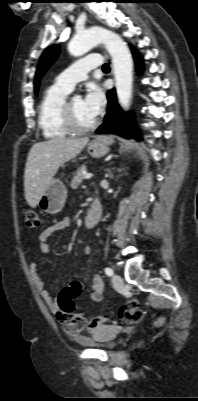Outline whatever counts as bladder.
Segmentation results:
<instances>
[{
	"instance_id": "1",
	"label": "bladder",
	"mask_w": 198,
	"mask_h": 401,
	"mask_svg": "<svg viewBox=\"0 0 198 401\" xmlns=\"http://www.w3.org/2000/svg\"><path fill=\"white\" fill-rule=\"evenodd\" d=\"M121 331L122 329L117 326H104L97 332L94 338L87 340L85 345L91 348L112 350L115 347L114 339Z\"/></svg>"
}]
</instances>
